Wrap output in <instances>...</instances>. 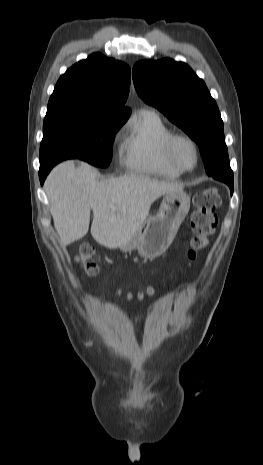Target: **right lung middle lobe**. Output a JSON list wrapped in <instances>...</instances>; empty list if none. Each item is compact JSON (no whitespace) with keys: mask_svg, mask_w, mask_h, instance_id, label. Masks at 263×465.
Here are the masks:
<instances>
[{"mask_svg":"<svg viewBox=\"0 0 263 465\" xmlns=\"http://www.w3.org/2000/svg\"><path fill=\"white\" fill-rule=\"evenodd\" d=\"M129 114L82 106L48 107L40 145V168L78 158L98 167L112 159L116 132Z\"/></svg>","mask_w":263,"mask_h":465,"instance_id":"obj_1","label":"right lung middle lobe"}]
</instances>
